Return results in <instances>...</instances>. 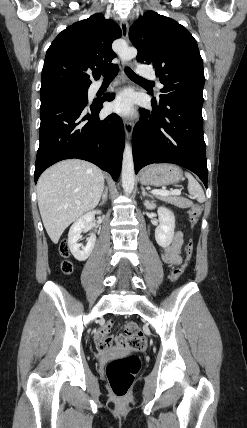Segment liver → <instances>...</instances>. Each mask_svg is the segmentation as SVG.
<instances>
[{
    "label": "liver",
    "mask_w": 247,
    "mask_h": 428,
    "mask_svg": "<svg viewBox=\"0 0 247 428\" xmlns=\"http://www.w3.org/2000/svg\"><path fill=\"white\" fill-rule=\"evenodd\" d=\"M103 189L102 170L83 160H64L42 173L37 182V200L53 243H58L72 222L98 205Z\"/></svg>",
    "instance_id": "obj_1"
}]
</instances>
